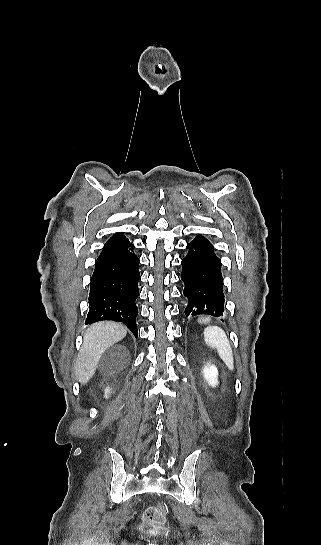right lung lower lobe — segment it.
<instances>
[{"mask_svg":"<svg viewBox=\"0 0 321 545\" xmlns=\"http://www.w3.org/2000/svg\"><path fill=\"white\" fill-rule=\"evenodd\" d=\"M134 245L123 235L114 234L104 245L91 277L89 312L85 324L102 320L124 323L138 336L135 304L139 296V258Z\"/></svg>","mask_w":321,"mask_h":545,"instance_id":"obj_1","label":"right lung lower lobe"}]
</instances>
